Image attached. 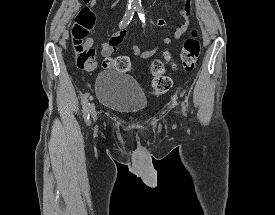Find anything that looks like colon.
<instances>
[{
  "label": "colon",
  "mask_w": 275,
  "mask_h": 215,
  "mask_svg": "<svg viewBox=\"0 0 275 215\" xmlns=\"http://www.w3.org/2000/svg\"><path fill=\"white\" fill-rule=\"evenodd\" d=\"M83 2L84 6L76 16L71 34V50L80 67L87 66L93 61L95 55V50L87 43L89 32L95 24V16L89 6L90 0H83ZM199 55L200 42L197 32L193 31L192 35L184 41L179 52V63L182 70L185 72L192 71ZM164 56L165 61H169L171 58L168 52ZM103 66L114 68L118 72L123 73L129 72L132 68L131 61L127 56H117L114 58L107 56L103 61ZM151 72L154 76L150 84L152 93L156 95L166 93L172 86V80L165 73L164 61L155 60L151 65Z\"/></svg>",
  "instance_id": "obj_1"
}]
</instances>
